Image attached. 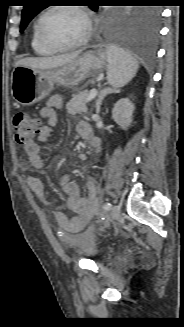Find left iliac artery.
I'll list each match as a JSON object with an SVG mask.
<instances>
[{
	"instance_id": "44dca946",
	"label": "left iliac artery",
	"mask_w": 184,
	"mask_h": 327,
	"mask_svg": "<svg viewBox=\"0 0 184 327\" xmlns=\"http://www.w3.org/2000/svg\"><path fill=\"white\" fill-rule=\"evenodd\" d=\"M111 207H112V205H111V203H109V202L105 203L104 206H103V208H104L105 210H110Z\"/></svg>"
}]
</instances>
